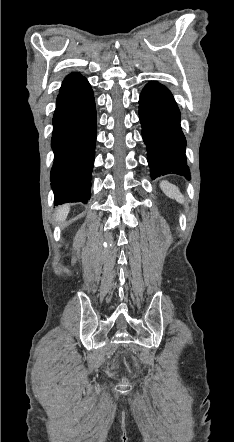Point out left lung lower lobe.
<instances>
[{
	"mask_svg": "<svg viewBox=\"0 0 234 442\" xmlns=\"http://www.w3.org/2000/svg\"><path fill=\"white\" fill-rule=\"evenodd\" d=\"M139 104L151 177L178 174L190 179L180 112L170 91L157 82H150L143 89Z\"/></svg>",
	"mask_w": 234,
	"mask_h": 442,
	"instance_id": "1",
	"label": "left lung lower lobe"
}]
</instances>
